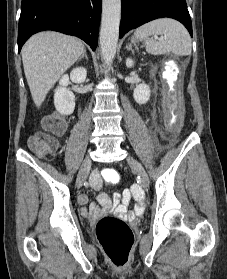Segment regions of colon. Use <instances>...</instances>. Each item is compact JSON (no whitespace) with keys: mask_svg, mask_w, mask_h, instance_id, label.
Instances as JSON below:
<instances>
[{"mask_svg":"<svg viewBox=\"0 0 227 279\" xmlns=\"http://www.w3.org/2000/svg\"><path fill=\"white\" fill-rule=\"evenodd\" d=\"M46 128L51 129L54 134L64 131L65 123L55 116L43 120ZM29 146L40 156L55 152L58 143L50 134H37L29 140ZM104 178L110 183H118L120 174L116 170L104 173ZM98 242L113 264L124 266L129 259L130 250L134 241L133 232L130 226L123 220L105 216L102 217L96 226Z\"/></svg>","mask_w":227,"mask_h":279,"instance_id":"5ec220e1","label":"colon"}]
</instances>
